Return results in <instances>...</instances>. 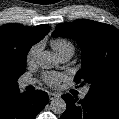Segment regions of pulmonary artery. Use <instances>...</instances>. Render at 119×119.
Segmentation results:
<instances>
[{
  "instance_id": "e3ab8cb5",
  "label": "pulmonary artery",
  "mask_w": 119,
  "mask_h": 119,
  "mask_svg": "<svg viewBox=\"0 0 119 119\" xmlns=\"http://www.w3.org/2000/svg\"><path fill=\"white\" fill-rule=\"evenodd\" d=\"M72 55H73L72 52H66V53H63L62 55H60V58L63 62H66L72 57ZM33 83H34V81L32 79H23L20 82V86L21 87H26V86L32 85ZM86 94H87V91L84 90L81 93L80 98L83 99L86 96Z\"/></svg>"
}]
</instances>
